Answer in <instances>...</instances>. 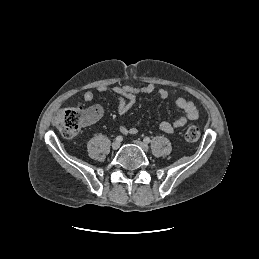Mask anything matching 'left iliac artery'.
Returning <instances> with one entry per match:
<instances>
[{
  "label": "left iliac artery",
  "mask_w": 259,
  "mask_h": 259,
  "mask_svg": "<svg viewBox=\"0 0 259 259\" xmlns=\"http://www.w3.org/2000/svg\"><path fill=\"white\" fill-rule=\"evenodd\" d=\"M150 141H151V140H150L149 137H145V138H144V142H145V143H149Z\"/></svg>",
  "instance_id": "1"
}]
</instances>
